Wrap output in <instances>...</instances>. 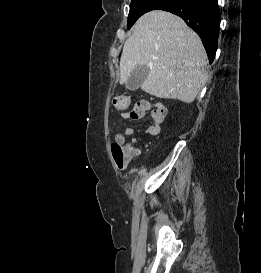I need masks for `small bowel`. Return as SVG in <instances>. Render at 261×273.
Segmentation results:
<instances>
[{
  "label": "small bowel",
  "instance_id": "small-bowel-1",
  "mask_svg": "<svg viewBox=\"0 0 261 273\" xmlns=\"http://www.w3.org/2000/svg\"><path fill=\"white\" fill-rule=\"evenodd\" d=\"M144 105V114L147 110L151 111L152 124L147 128V133L149 135H157L160 132L161 125L165 117V108L160 104H151L147 101H141ZM126 110V109H124ZM124 119L130 120V111H124L122 113ZM134 129L132 127H127L124 130V136H132ZM128 161H132L134 158L140 156L141 151L139 148L128 145Z\"/></svg>",
  "mask_w": 261,
  "mask_h": 273
}]
</instances>
